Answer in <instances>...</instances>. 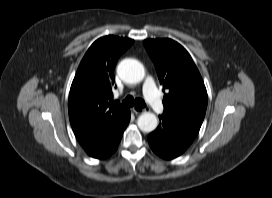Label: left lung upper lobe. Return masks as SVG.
<instances>
[{"mask_svg":"<svg viewBox=\"0 0 272 198\" xmlns=\"http://www.w3.org/2000/svg\"><path fill=\"white\" fill-rule=\"evenodd\" d=\"M144 46L155 64L164 95V115L201 126L207 91L189 53L171 39H147Z\"/></svg>","mask_w":272,"mask_h":198,"instance_id":"obj_1","label":"left lung upper lobe"}]
</instances>
